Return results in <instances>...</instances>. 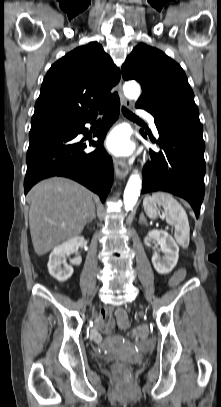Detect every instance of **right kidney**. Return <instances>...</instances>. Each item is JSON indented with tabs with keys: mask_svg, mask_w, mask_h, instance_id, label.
Returning a JSON list of instances; mask_svg holds the SVG:
<instances>
[{
	"mask_svg": "<svg viewBox=\"0 0 221 407\" xmlns=\"http://www.w3.org/2000/svg\"><path fill=\"white\" fill-rule=\"evenodd\" d=\"M84 242V237L77 236L56 246L49 256V274L59 282H65L73 274V267L66 262V257L76 252ZM81 262V259L79 260Z\"/></svg>",
	"mask_w": 221,
	"mask_h": 407,
	"instance_id": "obj_1",
	"label": "right kidney"
}]
</instances>
